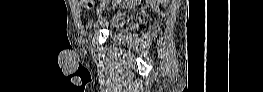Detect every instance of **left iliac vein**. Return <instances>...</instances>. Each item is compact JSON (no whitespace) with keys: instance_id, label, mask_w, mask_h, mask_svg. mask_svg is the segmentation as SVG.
I'll list each match as a JSON object with an SVG mask.
<instances>
[{"instance_id":"obj_1","label":"left iliac vein","mask_w":263,"mask_h":92,"mask_svg":"<svg viewBox=\"0 0 263 92\" xmlns=\"http://www.w3.org/2000/svg\"><path fill=\"white\" fill-rule=\"evenodd\" d=\"M96 7L102 8L101 2H96ZM97 17H100V14H97Z\"/></svg>"}]
</instances>
